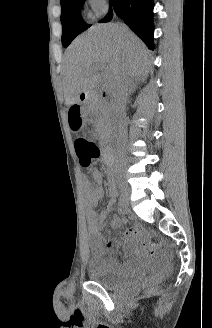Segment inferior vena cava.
<instances>
[{
	"instance_id": "1",
	"label": "inferior vena cava",
	"mask_w": 212,
	"mask_h": 328,
	"mask_svg": "<svg viewBox=\"0 0 212 328\" xmlns=\"http://www.w3.org/2000/svg\"><path fill=\"white\" fill-rule=\"evenodd\" d=\"M123 25L120 24V27ZM128 79L125 74L120 75L117 78L116 85L112 90L111 96V112L114 121L116 122L118 128V138H117V152L116 158L117 167H124V156H123V147L125 146L127 140V128H126V102L128 97ZM116 177H119L122 174L120 169L115 171Z\"/></svg>"
}]
</instances>
